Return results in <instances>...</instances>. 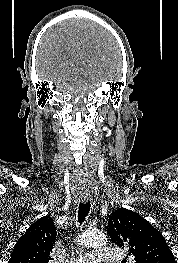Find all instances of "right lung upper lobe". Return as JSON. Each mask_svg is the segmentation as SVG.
Returning <instances> with one entry per match:
<instances>
[{
  "label": "right lung upper lobe",
  "instance_id": "right-lung-upper-lobe-1",
  "mask_svg": "<svg viewBox=\"0 0 178 263\" xmlns=\"http://www.w3.org/2000/svg\"><path fill=\"white\" fill-rule=\"evenodd\" d=\"M56 235L51 217L38 219L18 239L8 263H48Z\"/></svg>",
  "mask_w": 178,
  "mask_h": 263
}]
</instances>
